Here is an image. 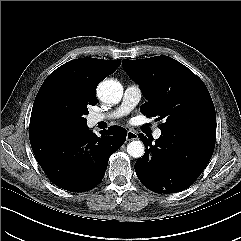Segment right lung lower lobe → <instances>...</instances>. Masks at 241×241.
Listing matches in <instances>:
<instances>
[{
    "mask_svg": "<svg viewBox=\"0 0 241 241\" xmlns=\"http://www.w3.org/2000/svg\"><path fill=\"white\" fill-rule=\"evenodd\" d=\"M98 137L88 126L31 140L37 162L58 187L71 192L95 188L103 179L108 159L125 142L120 126L102 130Z\"/></svg>",
    "mask_w": 241,
    "mask_h": 241,
    "instance_id": "right-lung-lower-lobe-1",
    "label": "right lung lower lobe"
}]
</instances>
